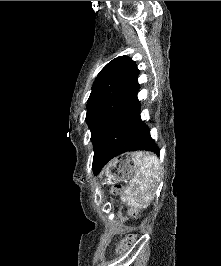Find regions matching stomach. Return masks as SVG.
<instances>
[{
	"instance_id": "obj_1",
	"label": "stomach",
	"mask_w": 221,
	"mask_h": 266,
	"mask_svg": "<svg viewBox=\"0 0 221 266\" xmlns=\"http://www.w3.org/2000/svg\"><path fill=\"white\" fill-rule=\"evenodd\" d=\"M137 170L133 154H126L109 163L105 174L109 181L120 182L129 180Z\"/></svg>"
}]
</instances>
